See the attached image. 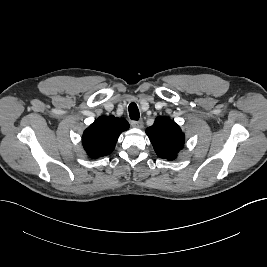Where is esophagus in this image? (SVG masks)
<instances>
[{"label": "esophagus", "mask_w": 267, "mask_h": 267, "mask_svg": "<svg viewBox=\"0 0 267 267\" xmlns=\"http://www.w3.org/2000/svg\"><path fill=\"white\" fill-rule=\"evenodd\" d=\"M131 126L134 128H142L143 121H131Z\"/></svg>", "instance_id": "1"}]
</instances>
